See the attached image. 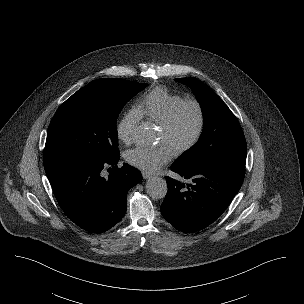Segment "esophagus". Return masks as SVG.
Instances as JSON below:
<instances>
[{
	"label": "esophagus",
	"instance_id": "obj_1",
	"mask_svg": "<svg viewBox=\"0 0 304 304\" xmlns=\"http://www.w3.org/2000/svg\"><path fill=\"white\" fill-rule=\"evenodd\" d=\"M142 176L144 179H150L152 177V174H149L147 172H142Z\"/></svg>",
	"mask_w": 304,
	"mask_h": 304
}]
</instances>
